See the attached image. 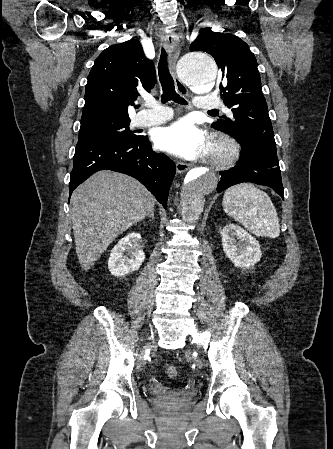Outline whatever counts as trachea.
<instances>
[{
	"instance_id": "3493384b",
	"label": "trachea",
	"mask_w": 333,
	"mask_h": 449,
	"mask_svg": "<svg viewBox=\"0 0 333 449\" xmlns=\"http://www.w3.org/2000/svg\"><path fill=\"white\" fill-rule=\"evenodd\" d=\"M158 73L163 91V94L161 95V102L166 103L170 100H173L174 102L181 105L187 104L186 100L175 91L174 80L168 70V53L163 48L158 65ZM209 112L216 111L210 110Z\"/></svg>"
}]
</instances>
